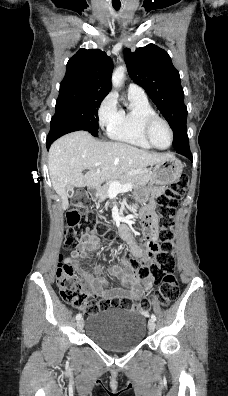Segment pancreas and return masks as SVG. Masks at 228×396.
Returning <instances> with one entry per match:
<instances>
[{"mask_svg": "<svg viewBox=\"0 0 228 396\" xmlns=\"http://www.w3.org/2000/svg\"><path fill=\"white\" fill-rule=\"evenodd\" d=\"M149 181L147 170H142L138 173H127L114 180L107 181L99 190L100 198L104 200L111 194V184L119 182L121 185L130 183L133 188H137Z\"/></svg>", "mask_w": 228, "mask_h": 396, "instance_id": "1", "label": "pancreas"}]
</instances>
